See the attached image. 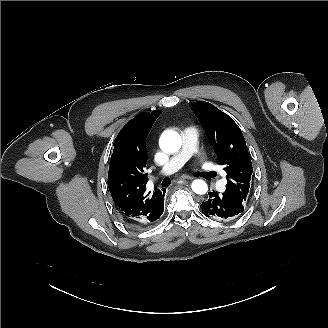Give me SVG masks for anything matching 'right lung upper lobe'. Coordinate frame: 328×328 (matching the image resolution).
<instances>
[{
    "label": "right lung upper lobe",
    "instance_id": "cb5924a9",
    "mask_svg": "<svg viewBox=\"0 0 328 328\" xmlns=\"http://www.w3.org/2000/svg\"><path fill=\"white\" fill-rule=\"evenodd\" d=\"M161 113L155 110L136 115L121 129L113 144L108 187L119 213L133 226H147L159 219L166 192L146 191L145 139Z\"/></svg>",
    "mask_w": 328,
    "mask_h": 328
}]
</instances>
